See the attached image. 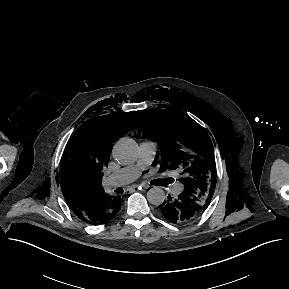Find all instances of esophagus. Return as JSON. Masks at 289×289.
Wrapping results in <instances>:
<instances>
[{"label":"esophagus","mask_w":289,"mask_h":289,"mask_svg":"<svg viewBox=\"0 0 289 289\" xmlns=\"http://www.w3.org/2000/svg\"><path fill=\"white\" fill-rule=\"evenodd\" d=\"M149 188H150V185H146V184L139 185V186H137V185H134V186H133V189H138V190H140V189L147 190V189H149Z\"/></svg>","instance_id":"esophagus-1"}]
</instances>
